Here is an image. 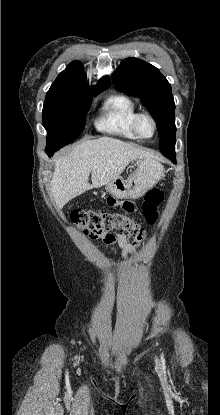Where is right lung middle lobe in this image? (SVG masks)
<instances>
[{
    "label": "right lung middle lobe",
    "mask_w": 220,
    "mask_h": 415,
    "mask_svg": "<svg viewBox=\"0 0 220 415\" xmlns=\"http://www.w3.org/2000/svg\"><path fill=\"white\" fill-rule=\"evenodd\" d=\"M101 91L89 94L47 92L42 112L43 126L48 132L47 150L57 151L79 137L85 127L92 97Z\"/></svg>",
    "instance_id": "dd1d6c3e"
}]
</instances>
